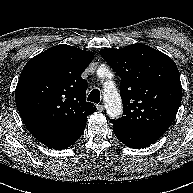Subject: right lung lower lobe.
<instances>
[{"instance_id": "98d812e1", "label": "right lung lower lobe", "mask_w": 193, "mask_h": 193, "mask_svg": "<svg viewBox=\"0 0 193 193\" xmlns=\"http://www.w3.org/2000/svg\"><path fill=\"white\" fill-rule=\"evenodd\" d=\"M85 129V128H84ZM84 129L69 135L62 139H55L52 141H49L47 143H44L46 146L53 148V149H65L69 146H71L74 142H76L80 136L83 134Z\"/></svg>"}]
</instances>
